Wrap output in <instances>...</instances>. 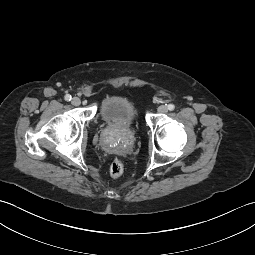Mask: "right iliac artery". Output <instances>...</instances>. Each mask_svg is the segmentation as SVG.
I'll return each mask as SVG.
<instances>
[{
    "label": "right iliac artery",
    "mask_w": 255,
    "mask_h": 255,
    "mask_svg": "<svg viewBox=\"0 0 255 255\" xmlns=\"http://www.w3.org/2000/svg\"><path fill=\"white\" fill-rule=\"evenodd\" d=\"M71 99H72L71 95L67 94V95L65 96V100H66V101H70Z\"/></svg>",
    "instance_id": "1"
}]
</instances>
